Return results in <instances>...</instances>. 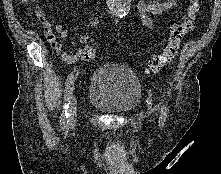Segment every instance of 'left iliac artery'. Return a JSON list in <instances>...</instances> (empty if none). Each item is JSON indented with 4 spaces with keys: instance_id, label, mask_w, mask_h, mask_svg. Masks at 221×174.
I'll return each instance as SVG.
<instances>
[{
    "instance_id": "44dca946",
    "label": "left iliac artery",
    "mask_w": 221,
    "mask_h": 174,
    "mask_svg": "<svg viewBox=\"0 0 221 174\" xmlns=\"http://www.w3.org/2000/svg\"><path fill=\"white\" fill-rule=\"evenodd\" d=\"M161 119H165L167 117L166 108L161 104Z\"/></svg>"
}]
</instances>
